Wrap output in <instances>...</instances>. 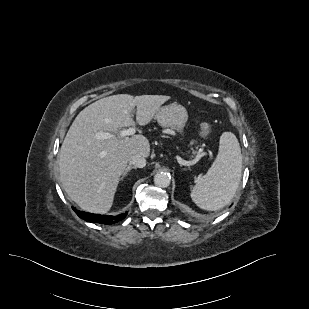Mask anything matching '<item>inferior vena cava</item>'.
<instances>
[{
    "label": "inferior vena cava",
    "instance_id": "602c4592",
    "mask_svg": "<svg viewBox=\"0 0 309 309\" xmlns=\"http://www.w3.org/2000/svg\"><path fill=\"white\" fill-rule=\"evenodd\" d=\"M129 163L138 168H143L146 165V159L140 154H134L129 158Z\"/></svg>",
    "mask_w": 309,
    "mask_h": 309
}]
</instances>
